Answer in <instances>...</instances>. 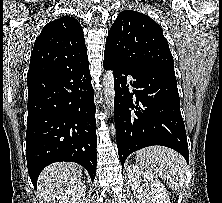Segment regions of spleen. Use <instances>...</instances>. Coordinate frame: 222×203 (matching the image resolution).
<instances>
[{"mask_svg":"<svg viewBox=\"0 0 222 203\" xmlns=\"http://www.w3.org/2000/svg\"><path fill=\"white\" fill-rule=\"evenodd\" d=\"M136 162L152 174L167 181L175 192H181L187 181L188 167L178 152L164 146H150L136 153Z\"/></svg>","mask_w":222,"mask_h":203,"instance_id":"spleen-1","label":"spleen"}]
</instances>
